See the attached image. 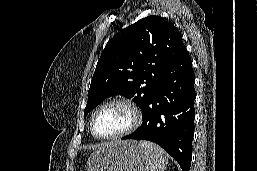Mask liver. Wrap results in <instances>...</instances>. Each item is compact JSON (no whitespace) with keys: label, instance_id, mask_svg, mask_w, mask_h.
Here are the masks:
<instances>
[{"label":"liver","instance_id":"6515ba94","mask_svg":"<svg viewBox=\"0 0 257 171\" xmlns=\"http://www.w3.org/2000/svg\"><path fill=\"white\" fill-rule=\"evenodd\" d=\"M112 144H113V142L103 143V144L99 145L97 148L101 149V148H104V147L112 145Z\"/></svg>","mask_w":257,"mask_h":171}]
</instances>
